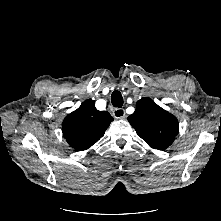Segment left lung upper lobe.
<instances>
[{
  "label": "left lung upper lobe",
  "mask_w": 221,
  "mask_h": 221,
  "mask_svg": "<svg viewBox=\"0 0 221 221\" xmlns=\"http://www.w3.org/2000/svg\"><path fill=\"white\" fill-rule=\"evenodd\" d=\"M128 121L139 137L158 150L169 147L179 131L176 117L148 97L137 101L136 110Z\"/></svg>",
  "instance_id": "1"
}]
</instances>
